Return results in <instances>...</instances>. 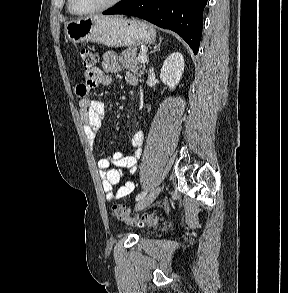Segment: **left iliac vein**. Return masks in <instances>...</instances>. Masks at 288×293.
<instances>
[{
    "instance_id": "1",
    "label": "left iliac vein",
    "mask_w": 288,
    "mask_h": 293,
    "mask_svg": "<svg viewBox=\"0 0 288 293\" xmlns=\"http://www.w3.org/2000/svg\"><path fill=\"white\" fill-rule=\"evenodd\" d=\"M161 191V187L155 189L153 192H151L149 195L145 196L144 198H142L137 204L135 209L137 211H141L144 208H146L148 205H150L155 199L156 197L159 195Z\"/></svg>"
}]
</instances>
